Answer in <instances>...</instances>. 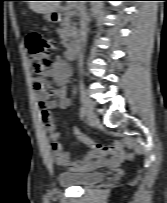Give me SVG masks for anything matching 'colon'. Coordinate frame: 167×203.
<instances>
[{"mask_svg":"<svg viewBox=\"0 0 167 203\" xmlns=\"http://www.w3.org/2000/svg\"><path fill=\"white\" fill-rule=\"evenodd\" d=\"M26 48L34 73L42 74L51 68L52 62L49 53L56 48L54 41L44 39L37 33H32L26 39Z\"/></svg>","mask_w":167,"mask_h":203,"instance_id":"obj_1","label":"colon"}]
</instances>
